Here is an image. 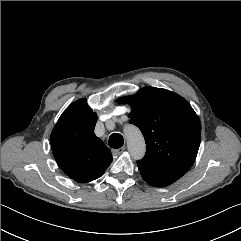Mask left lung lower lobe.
Returning <instances> with one entry per match:
<instances>
[{
    "label": "left lung lower lobe",
    "instance_id": "0a47b994",
    "mask_svg": "<svg viewBox=\"0 0 241 241\" xmlns=\"http://www.w3.org/2000/svg\"><path fill=\"white\" fill-rule=\"evenodd\" d=\"M143 179H144L148 184H150V185H152V186H156V187L166 186V185H164V184H162V183L155 182V181H152V180H148V179H146V178H144V177H143Z\"/></svg>",
    "mask_w": 241,
    "mask_h": 241
}]
</instances>
